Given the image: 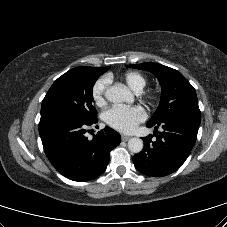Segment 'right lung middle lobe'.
<instances>
[{
	"instance_id": "1",
	"label": "right lung middle lobe",
	"mask_w": 227,
	"mask_h": 227,
	"mask_svg": "<svg viewBox=\"0 0 227 227\" xmlns=\"http://www.w3.org/2000/svg\"><path fill=\"white\" fill-rule=\"evenodd\" d=\"M103 74L89 66L76 67L59 77L48 90L41 106V118L67 115L82 121L97 119L93 86Z\"/></svg>"
}]
</instances>
